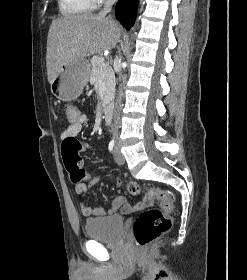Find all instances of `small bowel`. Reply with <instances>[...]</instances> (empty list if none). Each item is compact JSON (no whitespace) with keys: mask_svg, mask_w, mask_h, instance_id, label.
I'll use <instances>...</instances> for the list:
<instances>
[{"mask_svg":"<svg viewBox=\"0 0 247 280\" xmlns=\"http://www.w3.org/2000/svg\"><path fill=\"white\" fill-rule=\"evenodd\" d=\"M90 120V116L87 113H80L79 118L74 121L70 122L68 127L63 131L62 133V141H65L67 139H76V136L82 129V126L87 124ZM75 192L77 196L80 199V204H81V212L84 216L89 217V216H104L107 214H113L114 212L120 210L122 213H130L135 210H139L143 207H145L148 203L145 202L144 200L139 202L135 206H131L127 203L126 198L123 196H118L116 197L113 202L112 206L110 209L105 210L100 207H90L87 206L84 203V200L86 198V193L87 191H80L76 186H75Z\"/></svg>","mask_w":247,"mask_h":280,"instance_id":"obj_1","label":"small bowel"}]
</instances>
